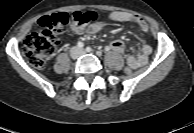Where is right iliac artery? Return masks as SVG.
Wrapping results in <instances>:
<instances>
[{
  "label": "right iliac artery",
  "mask_w": 194,
  "mask_h": 133,
  "mask_svg": "<svg viewBox=\"0 0 194 133\" xmlns=\"http://www.w3.org/2000/svg\"><path fill=\"white\" fill-rule=\"evenodd\" d=\"M77 46H78L79 48H83V47H84V43H83V42H78V43H77Z\"/></svg>",
  "instance_id": "1"
}]
</instances>
